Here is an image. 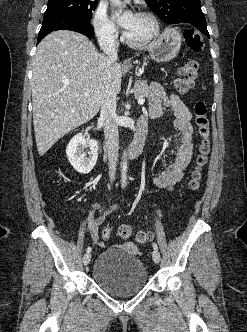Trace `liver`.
Segmentation results:
<instances>
[{"instance_id":"liver-1","label":"liver","mask_w":247,"mask_h":332,"mask_svg":"<svg viewBox=\"0 0 247 332\" xmlns=\"http://www.w3.org/2000/svg\"><path fill=\"white\" fill-rule=\"evenodd\" d=\"M32 71L33 123L40 156L96 116L107 87L120 92L123 73L121 65L98 53L87 37L68 30L52 32L39 43Z\"/></svg>"}]
</instances>
